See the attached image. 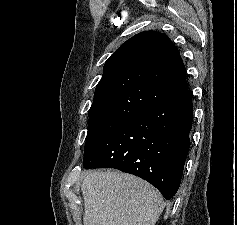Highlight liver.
I'll return each mask as SVG.
<instances>
[{
	"mask_svg": "<svg viewBox=\"0 0 237 225\" xmlns=\"http://www.w3.org/2000/svg\"><path fill=\"white\" fill-rule=\"evenodd\" d=\"M81 192L84 225H155L165 207L151 184L119 171L90 172Z\"/></svg>",
	"mask_w": 237,
	"mask_h": 225,
	"instance_id": "1",
	"label": "liver"
}]
</instances>
